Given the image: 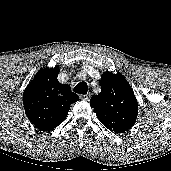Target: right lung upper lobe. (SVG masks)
Wrapping results in <instances>:
<instances>
[{
  "label": "right lung upper lobe",
  "instance_id": "cb5924a9",
  "mask_svg": "<svg viewBox=\"0 0 171 171\" xmlns=\"http://www.w3.org/2000/svg\"><path fill=\"white\" fill-rule=\"evenodd\" d=\"M59 67L43 68L23 94L25 113L40 131H51L67 117L70 105L79 100L67 84L59 83Z\"/></svg>",
  "mask_w": 171,
  "mask_h": 171
}]
</instances>
